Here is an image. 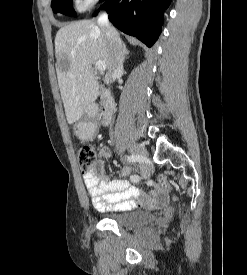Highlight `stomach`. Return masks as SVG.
<instances>
[{
	"mask_svg": "<svg viewBox=\"0 0 247 275\" xmlns=\"http://www.w3.org/2000/svg\"><path fill=\"white\" fill-rule=\"evenodd\" d=\"M89 131H90V126L85 122H79L74 126V133L76 134V136L80 138L86 137Z\"/></svg>",
	"mask_w": 247,
	"mask_h": 275,
	"instance_id": "1",
	"label": "stomach"
}]
</instances>
